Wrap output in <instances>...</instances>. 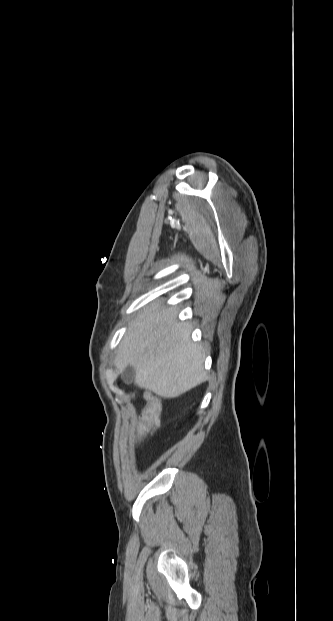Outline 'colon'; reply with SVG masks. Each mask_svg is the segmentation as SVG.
I'll return each mask as SVG.
<instances>
[{
  "mask_svg": "<svg viewBox=\"0 0 333 621\" xmlns=\"http://www.w3.org/2000/svg\"><path fill=\"white\" fill-rule=\"evenodd\" d=\"M160 422V399L157 396L150 394L139 426L140 441L143 442L147 436L151 435L159 427Z\"/></svg>",
  "mask_w": 333,
  "mask_h": 621,
  "instance_id": "5ec220e1",
  "label": "colon"
}]
</instances>
